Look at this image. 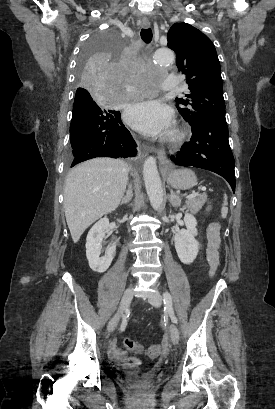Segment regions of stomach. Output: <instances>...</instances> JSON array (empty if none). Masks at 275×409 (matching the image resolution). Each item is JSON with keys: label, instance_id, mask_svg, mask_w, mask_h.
<instances>
[{"label": "stomach", "instance_id": "1", "mask_svg": "<svg viewBox=\"0 0 275 409\" xmlns=\"http://www.w3.org/2000/svg\"><path fill=\"white\" fill-rule=\"evenodd\" d=\"M167 182L173 188L186 190V188H192L197 184V178L195 172L190 168H172L167 172Z\"/></svg>", "mask_w": 275, "mask_h": 409}]
</instances>
